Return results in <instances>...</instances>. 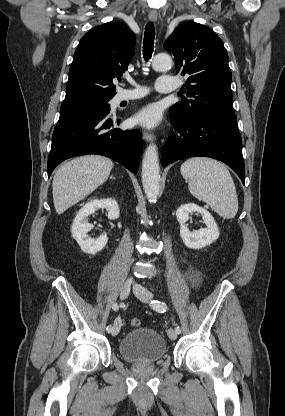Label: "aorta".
Wrapping results in <instances>:
<instances>
[{
    "label": "aorta",
    "mask_w": 285,
    "mask_h": 416,
    "mask_svg": "<svg viewBox=\"0 0 285 416\" xmlns=\"http://www.w3.org/2000/svg\"><path fill=\"white\" fill-rule=\"evenodd\" d=\"M152 67L156 71H168L172 67V59L168 54H157ZM160 167L158 149L155 144H150L145 151L142 161V183L145 194L150 202H156L160 189Z\"/></svg>",
    "instance_id": "obj_1"
}]
</instances>
